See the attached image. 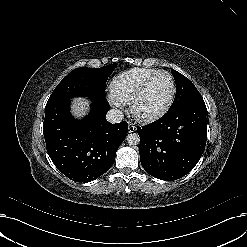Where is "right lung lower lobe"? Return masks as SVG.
<instances>
[{"label":"right lung lower lobe","instance_id":"98d812e1","mask_svg":"<svg viewBox=\"0 0 247 247\" xmlns=\"http://www.w3.org/2000/svg\"><path fill=\"white\" fill-rule=\"evenodd\" d=\"M91 112L82 120L69 112L70 98L46 104L43 133L54 165L69 179L89 182L107 172L127 135V122L106 120L105 98H90Z\"/></svg>","mask_w":247,"mask_h":247}]
</instances>
